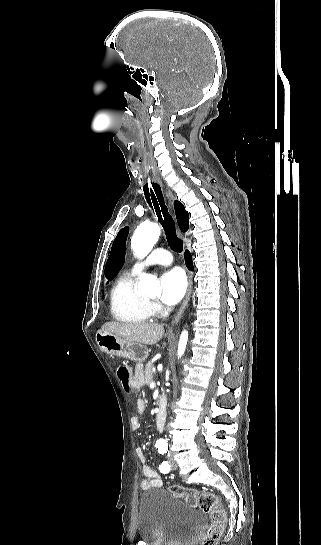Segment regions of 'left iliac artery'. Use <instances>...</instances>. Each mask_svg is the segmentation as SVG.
<instances>
[{
	"label": "left iliac artery",
	"mask_w": 321,
	"mask_h": 545,
	"mask_svg": "<svg viewBox=\"0 0 321 545\" xmlns=\"http://www.w3.org/2000/svg\"><path fill=\"white\" fill-rule=\"evenodd\" d=\"M158 451L160 454H165L168 451V448L165 445H161L158 446ZM159 470L162 473H168L170 471V464L167 461L162 462V464L159 466Z\"/></svg>",
	"instance_id": "44dca946"
}]
</instances>
